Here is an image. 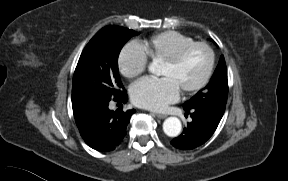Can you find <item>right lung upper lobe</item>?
I'll return each mask as SVG.
<instances>
[{
    "label": "right lung upper lobe",
    "mask_w": 288,
    "mask_h": 181,
    "mask_svg": "<svg viewBox=\"0 0 288 181\" xmlns=\"http://www.w3.org/2000/svg\"><path fill=\"white\" fill-rule=\"evenodd\" d=\"M73 114L79 131H83L88 125L95 107H80L73 104Z\"/></svg>",
    "instance_id": "cb5924a9"
}]
</instances>
